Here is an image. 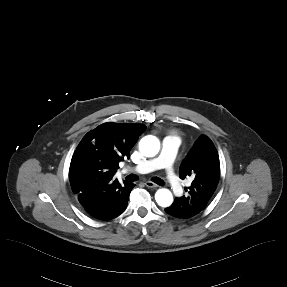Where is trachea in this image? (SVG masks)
I'll return each mask as SVG.
<instances>
[{"mask_svg": "<svg viewBox=\"0 0 287 287\" xmlns=\"http://www.w3.org/2000/svg\"><path fill=\"white\" fill-rule=\"evenodd\" d=\"M126 180L133 182V181L138 180V177L134 174H130L126 177ZM152 180H153V182H155L156 184H158L160 186L164 185V181L158 177H154Z\"/></svg>", "mask_w": 287, "mask_h": 287, "instance_id": "1", "label": "trachea"}]
</instances>
